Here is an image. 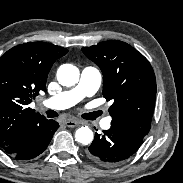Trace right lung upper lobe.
I'll use <instances>...</instances> for the list:
<instances>
[{"label":"right lung upper lobe","instance_id":"obj_1","mask_svg":"<svg viewBox=\"0 0 183 183\" xmlns=\"http://www.w3.org/2000/svg\"><path fill=\"white\" fill-rule=\"evenodd\" d=\"M67 52L53 44L29 42L0 57V148L7 154L19 152L26 132L46 119L28 105L45 90L51 66Z\"/></svg>","mask_w":183,"mask_h":183}]
</instances>
